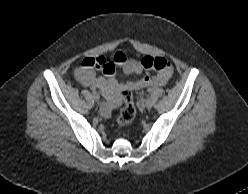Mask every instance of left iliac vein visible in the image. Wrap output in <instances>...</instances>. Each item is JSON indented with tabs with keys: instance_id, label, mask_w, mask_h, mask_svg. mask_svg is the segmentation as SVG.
Listing matches in <instances>:
<instances>
[{
	"instance_id": "obj_1",
	"label": "left iliac vein",
	"mask_w": 248,
	"mask_h": 194,
	"mask_svg": "<svg viewBox=\"0 0 248 194\" xmlns=\"http://www.w3.org/2000/svg\"><path fill=\"white\" fill-rule=\"evenodd\" d=\"M153 103H154V102H153L152 99H150V98L147 99V100H146V108H147V109H151V108L153 107Z\"/></svg>"
}]
</instances>
